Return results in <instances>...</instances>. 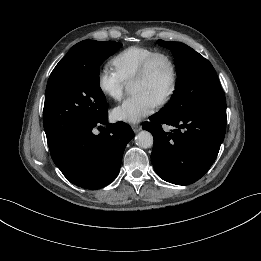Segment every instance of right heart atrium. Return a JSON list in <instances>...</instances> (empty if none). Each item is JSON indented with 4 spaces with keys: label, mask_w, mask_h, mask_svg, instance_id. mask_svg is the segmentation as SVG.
Instances as JSON below:
<instances>
[{
    "label": "right heart atrium",
    "mask_w": 261,
    "mask_h": 261,
    "mask_svg": "<svg viewBox=\"0 0 261 261\" xmlns=\"http://www.w3.org/2000/svg\"><path fill=\"white\" fill-rule=\"evenodd\" d=\"M97 86L105 97L119 100L123 95L125 82L115 71L102 68L97 74Z\"/></svg>",
    "instance_id": "1"
}]
</instances>
